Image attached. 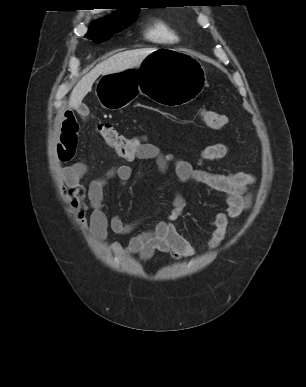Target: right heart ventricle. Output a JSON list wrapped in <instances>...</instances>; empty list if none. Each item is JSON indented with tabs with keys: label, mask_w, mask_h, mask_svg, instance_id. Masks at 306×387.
Here are the masks:
<instances>
[{
	"label": "right heart ventricle",
	"mask_w": 306,
	"mask_h": 387,
	"mask_svg": "<svg viewBox=\"0 0 306 387\" xmlns=\"http://www.w3.org/2000/svg\"><path fill=\"white\" fill-rule=\"evenodd\" d=\"M145 37L158 44H174L179 41L176 30L163 19L152 20L145 28Z\"/></svg>",
	"instance_id": "1"
}]
</instances>
